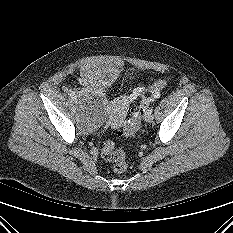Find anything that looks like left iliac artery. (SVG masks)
Instances as JSON below:
<instances>
[{
    "instance_id": "1",
    "label": "left iliac artery",
    "mask_w": 233,
    "mask_h": 233,
    "mask_svg": "<svg viewBox=\"0 0 233 233\" xmlns=\"http://www.w3.org/2000/svg\"><path fill=\"white\" fill-rule=\"evenodd\" d=\"M147 111H150V112H152L153 110H152V108H149Z\"/></svg>"
}]
</instances>
